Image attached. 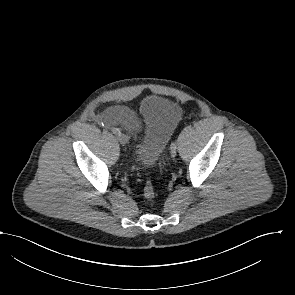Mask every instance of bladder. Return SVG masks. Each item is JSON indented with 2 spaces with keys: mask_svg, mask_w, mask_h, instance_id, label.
<instances>
[{
  "mask_svg": "<svg viewBox=\"0 0 295 295\" xmlns=\"http://www.w3.org/2000/svg\"><path fill=\"white\" fill-rule=\"evenodd\" d=\"M138 115L143 129L135 143V154L145 167L154 166L172 135L181 117V109L171 99L149 96L140 105Z\"/></svg>",
  "mask_w": 295,
  "mask_h": 295,
  "instance_id": "1",
  "label": "bladder"
}]
</instances>
